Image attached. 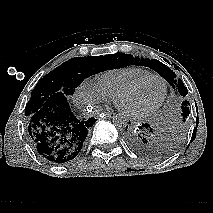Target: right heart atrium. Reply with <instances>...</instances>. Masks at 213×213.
Instances as JSON below:
<instances>
[{
  "instance_id": "obj_1",
  "label": "right heart atrium",
  "mask_w": 213,
  "mask_h": 213,
  "mask_svg": "<svg viewBox=\"0 0 213 213\" xmlns=\"http://www.w3.org/2000/svg\"><path fill=\"white\" fill-rule=\"evenodd\" d=\"M108 98L97 88L95 83L86 81L76 92V101L87 107L103 104Z\"/></svg>"
}]
</instances>
